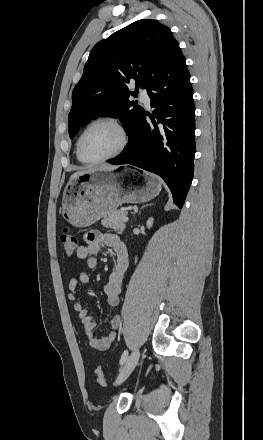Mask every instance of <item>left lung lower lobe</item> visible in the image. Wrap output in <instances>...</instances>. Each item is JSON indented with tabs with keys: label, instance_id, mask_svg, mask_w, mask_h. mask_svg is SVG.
<instances>
[{
	"label": "left lung lower lobe",
	"instance_id": "1",
	"mask_svg": "<svg viewBox=\"0 0 263 440\" xmlns=\"http://www.w3.org/2000/svg\"><path fill=\"white\" fill-rule=\"evenodd\" d=\"M146 90L154 108L149 115L153 124L146 121L148 113L144 112L128 132L127 147L108 162L134 165L159 175L181 209L194 174L195 109L190 74L179 44Z\"/></svg>",
	"mask_w": 263,
	"mask_h": 440
}]
</instances>
